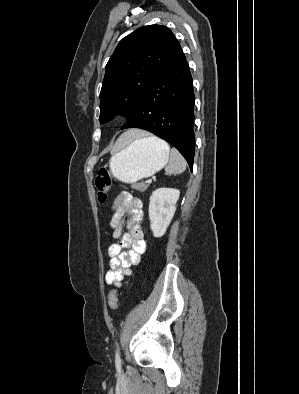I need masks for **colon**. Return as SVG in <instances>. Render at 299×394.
<instances>
[{
    "label": "colon",
    "mask_w": 299,
    "mask_h": 394,
    "mask_svg": "<svg viewBox=\"0 0 299 394\" xmlns=\"http://www.w3.org/2000/svg\"><path fill=\"white\" fill-rule=\"evenodd\" d=\"M94 184L97 190V198L99 203L104 204L108 200V193L112 184V178L109 171L105 168L99 170L95 177ZM109 306L115 311L118 308L117 289L114 288L109 294Z\"/></svg>",
    "instance_id": "obj_1"
}]
</instances>
